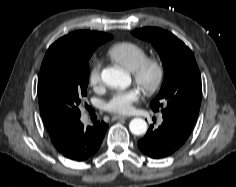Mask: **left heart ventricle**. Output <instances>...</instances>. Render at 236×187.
<instances>
[{"label":"left heart ventricle","mask_w":236,"mask_h":187,"mask_svg":"<svg viewBox=\"0 0 236 187\" xmlns=\"http://www.w3.org/2000/svg\"><path fill=\"white\" fill-rule=\"evenodd\" d=\"M152 78H153V73H149L148 80H152Z\"/></svg>","instance_id":"b2bd125f"}]
</instances>
